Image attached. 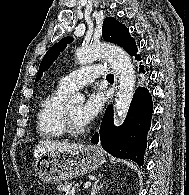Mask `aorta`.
<instances>
[{"instance_id": "1", "label": "aorta", "mask_w": 189, "mask_h": 195, "mask_svg": "<svg viewBox=\"0 0 189 195\" xmlns=\"http://www.w3.org/2000/svg\"><path fill=\"white\" fill-rule=\"evenodd\" d=\"M106 58L119 79V90L114 105V123L119 126L125 119L135 91V71L127 53L111 44H97L80 47L76 51V60L81 65ZM82 94L71 96L69 103L83 104Z\"/></svg>"}]
</instances>
